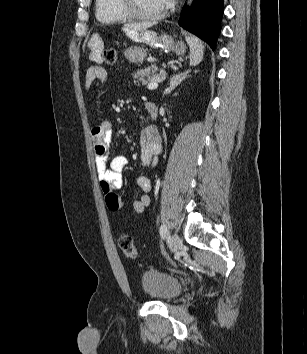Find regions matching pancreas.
<instances>
[{"instance_id":"1","label":"pancreas","mask_w":307,"mask_h":354,"mask_svg":"<svg viewBox=\"0 0 307 354\" xmlns=\"http://www.w3.org/2000/svg\"><path fill=\"white\" fill-rule=\"evenodd\" d=\"M132 77L134 79V84L137 86L148 84L154 79L159 78L158 67L156 65H151V67L137 70L132 74Z\"/></svg>"}]
</instances>
